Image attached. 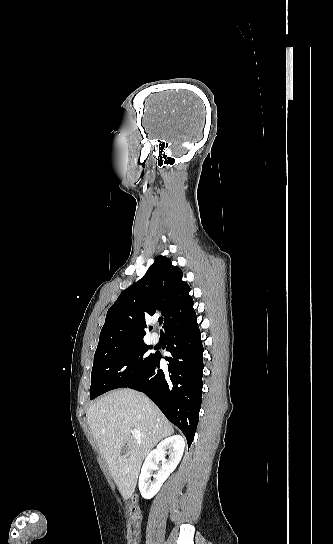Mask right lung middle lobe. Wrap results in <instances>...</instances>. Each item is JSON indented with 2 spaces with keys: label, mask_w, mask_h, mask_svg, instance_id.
Returning a JSON list of instances; mask_svg holds the SVG:
<instances>
[{
  "label": "right lung middle lobe",
  "mask_w": 333,
  "mask_h": 544,
  "mask_svg": "<svg viewBox=\"0 0 333 544\" xmlns=\"http://www.w3.org/2000/svg\"><path fill=\"white\" fill-rule=\"evenodd\" d=\"M142 338H116L98 343L91 373L90 399L138 381L155 354Z\"/></svg>",
  "instance_id": "1"
}]
</instances>
